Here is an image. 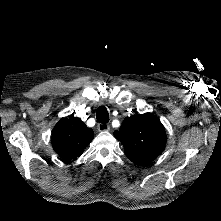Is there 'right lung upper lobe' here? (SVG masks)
<instances>
[{"mask_svg":"<svg viewBox=\"0 0 221 221\" xmlns=\"http://www.w3.org/2000/svg\"><path fill=\"white\" fill-rule=\"evenodd\" d=\"M94 138V132L79 118H62L52 130L54 150L65 162L80 156Z\"/></svg>","mask_w":221,"mask_h":221,"instance_id":"obj_1","label":"right lung upper lobe"}]
</instances>
